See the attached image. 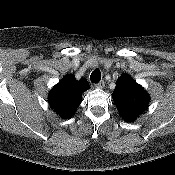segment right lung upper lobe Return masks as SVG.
I'll return each mask as SVG.
<instances>
[{"mask_svg": "<svg viewBox=\"0 0 175 175\" xmlns=\"http://www.w3.org/2000/svg\"><path fill=\"white\" fill-rule=\"evenodd\" d=\"M89 89L85 79L76 80L74 75H66L48 95L51 108L62 118H71L81 103V96Z\"/></svg>", "mask_w": 175, "mask_h": 175, "instance_id": "right-lung-upper-lobe-1", "label": "right lung upper lobe"}]
</instances>
